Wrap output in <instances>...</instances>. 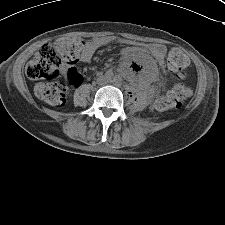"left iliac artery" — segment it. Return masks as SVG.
I'll return each instance as SVG.
<instances>
[{
    "label": "left iliac artery",
    "mask_w": 225,
    "mask_h": 225,
    "mask_svg": "<svg viewBox=\"0 0 225 225\" xmlns=\"http://www.w3.org/2000/svg\"><path fill=\"white\" fill-rule=\"evenodd\" d=\"M114 80L120 81L119 76H118V77L116 76V77L114 78Z\"/></svg>",
    "instance_id": "44dca946"
}]
</instances>
